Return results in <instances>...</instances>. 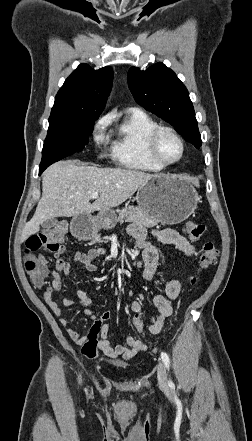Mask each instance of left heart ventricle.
<instances>
[{
	"mask_svg": "<svg viewBox=\"0 0 252 441\" xmlns=\"http://www.w3.org/2000/svg\"><path fill=\"white\" fill-rule=\"evenodd\" d=\"M158 154L165 161L177 159L181 153L179 142L169 134H163L158 140Z\"/></svg>",
	"mask_w": 252,
	"mask_h": 441,
	"instance_id": "left-heart-ventricle-1",
	"label": "left heart ventricle"
}]
</instances>
